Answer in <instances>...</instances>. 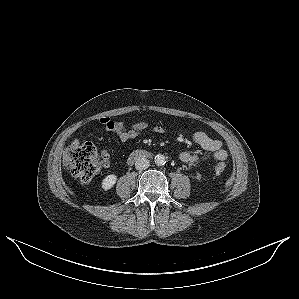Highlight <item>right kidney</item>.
<instances>
[{"label":"right kidney","instance_id":"1","mask_svg":"<svg viewBox=\"0 0 299 299\" xmlns=\"http://www.w3.org/2000/svg\"><path fill=\"white\" fill-rule=\"evenodd\" d=\"M117 176L114 174H109L105 176L101 181V187L105 191L110 190L116 183Z\"/></svg>","mask_w":299,"mask_h":299}]
</instances>
